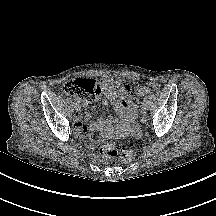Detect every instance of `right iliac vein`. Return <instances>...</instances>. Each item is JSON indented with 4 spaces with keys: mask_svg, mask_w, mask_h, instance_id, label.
<instances>
[{
    "mask_svg": "<svg viewBox=\"0 0 216 216\" xmlns=\"http://www.w3.org/2000/svg\"><path fill=\"white\" fill-rule=\"evenodd\" d=\"M75 110H76L77 112H79V111L81 110V105H80V103L75 104Z\"/></svg>",
    "mask_w": 216,
    "mask_h": 216,
    "instance_id": "1",
    "label": "right iliac vein"
}]
</instances>
